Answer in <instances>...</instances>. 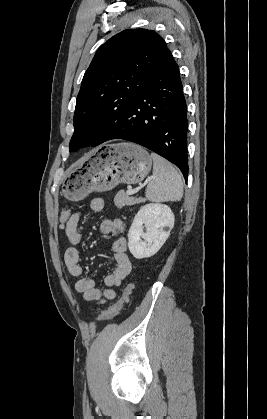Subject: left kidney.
<instances>
[{
	"instance_id": "obj_1",
	"label": "left kidney",
	"mask_w": 267,
	"mask_h": 419,
	"mask_svg": "<svg viewBox=\"0 0 267 419\" xmlns=\"http://www.w3.org/2000/svg\"><path fill=\"white\" fill-rule=\"evenodd\" d=\"M173 227L174 214L169 206L159 203L143 205L128 232L129 251L136 259L153 256L168 239Z\"/></svg>"
}]
</instances>
